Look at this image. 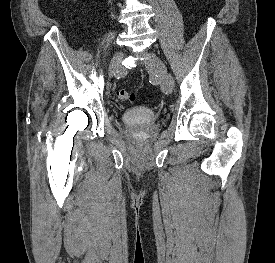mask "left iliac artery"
Masks as SVG:
<instances>
[{
    "label": "left iliac artery",
    "instance_id": "1",
    "mask_svg": "<svg viewBox=\"0 0 275 263\" xmlns=\"http://www.w3.org/2000/svg\"><path fill=\"white\" fill-rule=\"evenodd\" d=\"M169 78H170V81H171L172 85H174V81H173L172 77L169 76Z\"/></svg>",
    "mask_w": 275,
    "mask_h": 263
}]
</instances>
